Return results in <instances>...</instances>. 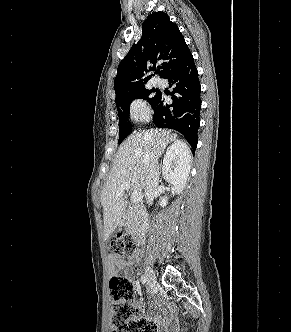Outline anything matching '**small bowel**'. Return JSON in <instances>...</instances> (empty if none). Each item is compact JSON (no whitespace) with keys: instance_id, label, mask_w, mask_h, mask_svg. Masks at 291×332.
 <instances>
[{"instance_id":"small-bowel-1","label":"small bowel","mask_w":291,"mask_h":332,"mask_svg":"<svg viewBox=\"0 0 291 332\" xmlns=\"http://www.w3.org/2000/svg\"><path fill=\"white\" fill-rule=\"evenodd\" d=\"M109 263H110V270L113 274L120 271L124 272L127 275L131 273V267L129 266V264L118 257L111 255L109 257ZM154 320L155 322L160 323L164 328H167L169 326V323L162 322L159 316H156Z\"/></svg>"}]
</instances>
